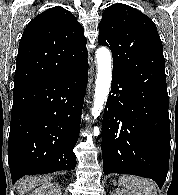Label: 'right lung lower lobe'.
I'll list each match as a JSON object with an SVG mask.
<instances>
[{
  "label": "right lung lower lobe",
  "instance_id": "obj_1",
  "mask_svg": "<svg viewBox=\"0 0 178 195\" xmlns=\"http://www.w3.org/2000/svg\"><path fill=\"white\" fill-rule=\"evenodd\" d=\"M88 63L74 73L14 85L8 141L12 183L24 175L73 170Z\"/></svg>",
  "mask_w": 178,
  "mask_h": 195
}]
</instances>
